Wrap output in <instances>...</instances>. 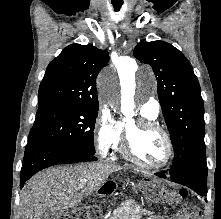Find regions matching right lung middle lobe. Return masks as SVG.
<instances>
[{
    "label": "right lung middle lobe",
    "instance_id": "right-lung-middle-lobe-1",
    "mask_svg": "<svg viewBox=\"0 0 221 219\" xmlns=\"http://www.w3.org/2000/svg\"><path fill=\"white\" fill-rule=\"evenodd\" d=\"M28 142L44 139L72 150L95 154L93 137L99 105L47 102L38 104Z\"/></svg>",
    "mask_w": 221,
    "mask_h": 219
}]
</instances>
